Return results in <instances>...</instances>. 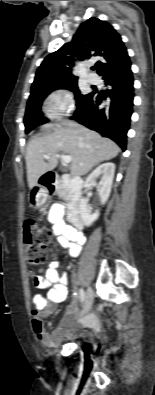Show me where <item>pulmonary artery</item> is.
Wrapping results in <instances>:
<instances>
[{
    "instance_id": "e3ab8cb5",
    "label": "pulmonary artery",
    "mask_w": 155,
    "mask_h": 395,
    "mask_svg": "<svg viewBox=\"0 0 155 395\" xmlns=\"http://www.w3.org/2000/svg\"><path fill=\"white\" fill-rule=\"evenodd\" d=\"M87 81L89 83H97L99 81V78L95 74H89L87 76Z\"/></svg>"
}]
</instances>
